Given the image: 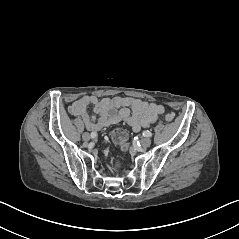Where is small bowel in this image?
<instances>
[{
    "instance_id": "small-bowel-1",
    "label": "small bowel",
    "mask_w": 239,
    "mask_h": 239,
    "mask_svg": "<svg viewBox=\"0 0 239 239\" xmlns=\"http://www.w3.org/2000/svg\"><path fill=\"white\" fill-rule=\"evenodd\" d=\"M89 105H93L98 117L88 113ZM69 112L80 117L86 128L98 131L103 127L126 122L135 132L155 124L164 113V107L133 97H106L99 99L86 95L71 104Z\"/></svg>"
}]
</instances>
